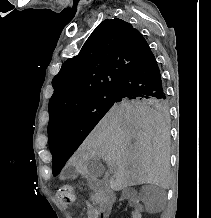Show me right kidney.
<instances>
[{
    "mask_svg": "<svg viewBox=\"0 0 211 218\" xmlns=\"http://www.w3.org/2000/svg\"><path fill=\"white\" fill-rule=\"evenodd\" d=\"M138 194L132 188H123L122 200L123 202H132V206H136V209H132V216L135 218H144L143 211H146V207L143 206L141 198H137Z\"/></svg>",
    "mask_w": 211,
    "mask_h": 218,
    "instance_id": "1",
    "label": "right kidney"
}]
</instances>
